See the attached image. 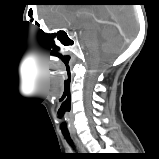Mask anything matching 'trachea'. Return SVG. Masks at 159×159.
Listing matches in <instances>:
<instances>
[{
    "label": "trachea",
    "mask_w": 159,
    "mask_h": 159,
    "mask_svg": "<svg viewBox=\"0 0 159 159\" xmlns=\"http://www.w3.org/2000/svg\"><path fill=\"white\" fill-rule=\"evenodd\" d=\"M63 135H64L65 139L67 140V142H68L71 146H73V142H72V140H71V138H70L69 133H63Z\"/></svg>",
    "instance_id": "3493384b"
}]
</instances>
